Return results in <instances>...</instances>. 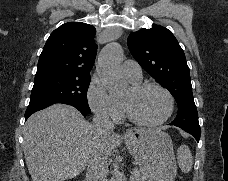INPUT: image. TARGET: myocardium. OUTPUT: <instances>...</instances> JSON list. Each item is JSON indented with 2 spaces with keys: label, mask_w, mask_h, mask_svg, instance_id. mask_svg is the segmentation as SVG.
I'll return each mask as SVG.
<instances>
[{
  "label": "myocardium",
  "mask_w": 228,
  "mask_h": 181,
  "mask_svg": "<svg viewBox=\"0 0 228 181\" xmlns=\"http://www.w3.org/2000/svg\"><path fill=\"white\" fill-rule=\"evenodd\" d=\"M148 87L156 88L157 90H159L163 94V96L166 99V108H165V111L161 117H159L158 119H155V120H150V121L144 120V119L139 118L133 112L130 104L127 101H124V106H125V109H126V112H127L129 119L133 123L138 124V125L152 127V126H157V125L165 122L169 118V116L171 115V112H172V108H173V99H172V96L170 95V93L156 82L132 81V84L130 86V90L133 92H139V91H141L145 88H148Z\"/></svg>",
  "instance_id": "obj_1"
}]
</instances>
